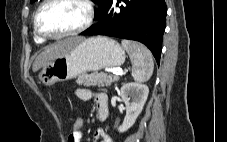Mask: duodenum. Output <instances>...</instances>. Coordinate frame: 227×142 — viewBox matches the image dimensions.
Instances as JSON below:
<instances>
[{"mask_svg":"<svg viewBox=\"0 0 227 142\" xmlns=\"http://www.w3.org/2000/svg\"><path fill=\"white\" fill-rule=\"evenodd\" d=\"M108 117V104L104 102L98 108V119L100 121H105Z\"/></svg>","mask_w":227,"mask_h":142,"instance_id":"obj_1","label":"duodenum"}]
</instances>
